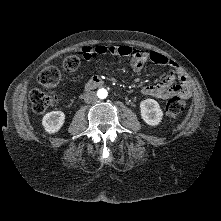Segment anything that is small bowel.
Wrapping results in <instances>:
<instances>
[{
  "mask_svg": "<svg viewBox=\"0 0 221 221\" xmlns=\"http://www.w3.org/2000/svg\"><path fill=\"white\" fill-rule=\"evenodd\" d=\"M81 52L85 60H90L94 55L127 57L135 72L144 70L148 63L166 66L169 68L166 76L157 84L144 86L142 93L158 99H168L174 96L187 99L191 96L190 83L181 68L173 60L156 51L145 52L130 45L115 44L84 46ZM175 81H177L176 84Z\"/></svg>",
  "mask_w": 221,
  "mask_h": 221,
  "instance_id": "obj_1",
  "label": "small bowel"
}]
</instances>
